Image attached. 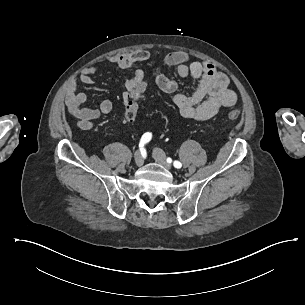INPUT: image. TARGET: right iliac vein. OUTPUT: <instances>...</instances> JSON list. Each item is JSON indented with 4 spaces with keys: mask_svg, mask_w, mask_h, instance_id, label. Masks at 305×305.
<instances>
[{
    "mask_svg": "<svg viewBox=\"0 0 305 305\" xmlns=\"http://www.w3.org/2000/svg\"><path fill=\"white\" fill-rule=\"evenodd\" d=\"M143 162H144L143 157L141 156L140 152L137 151L135 153V164H136V166L141 167L143 165Z\"/></svg>",
    "mask_w": 305,
    "mask_h": 305,
    "instance_id": "obj_1",
    "label": "right iliac vein"
}]
</instances>
